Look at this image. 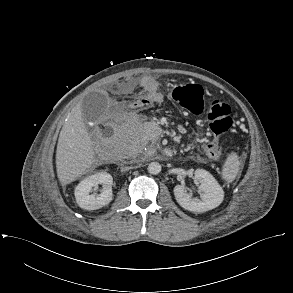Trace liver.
Returning a JSON list of instances; mask_svg holds the SVG:
<instances>
[{
  "label": "liver",
  "instance_id": "6515ba94",
  "mask_svg": "<svg viewBox=\"0 0 293 293\" xmlns=\"http://www.w3.org/2000/svg\"><path fill=\"white\" fill-rule=\"evenodd\" d=\"M93 142L85 127L81 104L68 116L59 135L56 150V170L62 185L83 175L94 163Z\"/></svg>",
  "mask_w": 293,
  "mask_h": 293
}]
</instances>
